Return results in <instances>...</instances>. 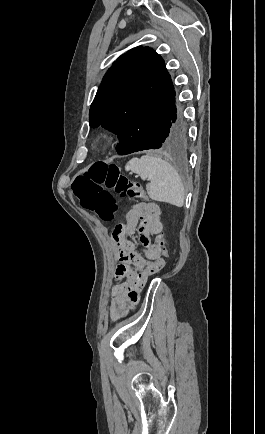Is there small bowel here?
Instances as JSON below:
<instances>
[{
	"label": "small bowel",
	"mask_w": 265,
	"mask_h": 434,
	"mask_svg": "<svg viewBox=\"0 0 265 434\" xmlns=\"http://www.w3.org/2000/svg\"><path fill=\"white\" fill-rule=\"evenodd\" d=\"M160 217L161 209L157 203H138L129 209L123 223L124 227L129 230V235L115 239L112 234L117 245L118 265L114 271V278L118 283L110 288L109 318L111 321H117L127 316L136 308L139 294L148 278L146 275H156L159 272L156 266H146L145 268L144 266L159 263L163 268L165 265L159 248L151 240L152 236L163 230ZM136 230L139 232L143 255L133 251L128 240Z\"/></svg>",
	"instance_id": "1"
}]
</instances>
